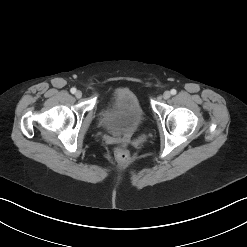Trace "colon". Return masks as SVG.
<instances>
[{"mask_svg": "<svg viewBox=\"0 0 247 247\" xmlns=\"http://www.w3.org/2000/svg\"><path fill=\"white\" fill-rule=\"evenodd\" d=\"M115 158L121 164H126L129 161V153L122 148L115 150Z\"/></svg>", "mask_w": 247, "mask_h": 247, "instance_id": "colon-1", "label": "colon"}]
</instances>
